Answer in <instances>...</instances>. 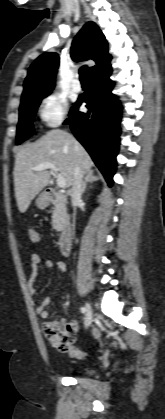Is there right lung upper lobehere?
<instances>
[{"mask_svg": "<svg viewBox=\"0 0 165 419\" xmlns=\"http://www.w3.org/2000/svg\"><path fill=\"white\" fill-rule=\"evenodd\" d=\"M71 57L74 61L92 59L96 65L89 68V78L111 68V55L105 36L94 22L86 23L73 40ZM59 64L57 53H45L30 66L24 81L21 101L34 95L50 92L55 86V75Z\"/></svg>", "mask_w": 165, "mask_h": 419, "instance_id": "1", "label": "right lung upper lobe"}]
</instances>
